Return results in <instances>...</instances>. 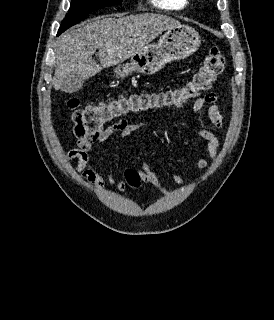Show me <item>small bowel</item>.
Instances as JSON below:
<instances>
[{"instance_id": "obj_1", "label": "small bowel", "mask_w": 274, "mask_h": 320, "mask_svg": "<svg viewBox=\"0 0 274 320\" xmlns=\"http://www.w3.org/2000/svg\"><path fill=\"white\" fill-rule=\"evenodd\" d=\"M207 106V115L211 124L217 129L224 128V118L218 107V95L210 92L204 96L198 97L193 105L192 112L198 115ZM146 128L143 123H129L126 120H120L117 124L107 126L102 130L86 135L78 139L76 146L67 153L68 160H75V172L80 174L89 184L95 185L99 190L105 189V179L100 171L94 165V145H103L115 133H118L120 141H123L134 132ZM197 135L202 139L209 158L213 161L217 157L220 148V140L216 134L208 128L200 127L196 130ZM182 145L188 147L192 153L197 157V168L205 170L209 162L207 159L201 157L198 149L188 142H182ZM140 178L147 184L153 186L158 192L165 196H171L176 193V189H171L162 184L157 174L151 169L147 162L141 163L140 167L135 169ZM172 180L179 186L185 184V179L173 173ZM108 183L118 191L126 189L125 182L118 180L113 174L107 175Z\"/></svg>"}]
</instances>
